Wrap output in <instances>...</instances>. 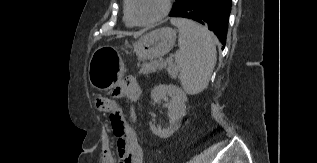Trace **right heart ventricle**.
<instances>
[{
    "mask_svg": "<svg viewBox=\"0 0 317 163\" xmlns=\"http://www.w3.org/2000/svg\"><path fill=\"white\" fill-rule=\"evenodd\" d=\"M124 22L127 26L131 27L134 24L129 19L128 13H127V1L125 0V6H124Z\"/></svg>",
    "mask_w": 317,
    "mask_h": 163,
    "instance_id": "e07e8e85",
    "label": "right heart ventricle"
}]
</instances>
